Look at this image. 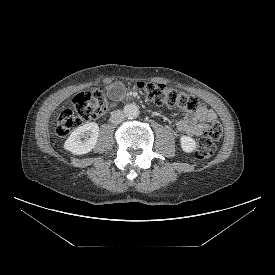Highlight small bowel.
<instances>
[{"label": "small bowel", "instance_id": "c3829d8e", "mask_svg": "<svg viewBox=\"0 0 275 275\" xmlns=\"http://www.w3.org/2000/svg\"><path fill=\"white\" fill-rule=\"evenodd\" d=\"M109 94L112 99H118L122 94V88L119 85L109 87ZM216 113L206 107H202L194 112L188 113L183 120L176 123L178 131L185 135L198 136L205 128L216 120Z\"/></svg>", "mask_w": 275, "mask_h": 275}]
</instances>
